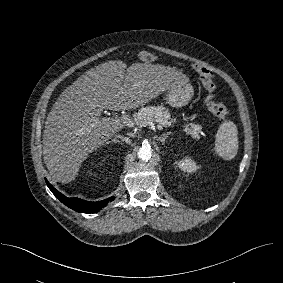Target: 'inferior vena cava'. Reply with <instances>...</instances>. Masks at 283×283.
Here are the masks:
<instances>
[{"mask_svg":"<svg viewBox=\"0 0 283 283\" xmlns=\"http://www.w3.org/2000/svg\"><path fill=\"white\" fill-rule=\"evenodd\" d=\"M116 137H117V138H120L122 141H124V142L127 143V144H130V143H131V139L128 138V137H125V136H122V135H117Z\"/></svg>","mask_w":283,"mask_h":283,"instance_id":"inferior-vena-cava-1","label":"inferior vena cava"}]
</instances>
